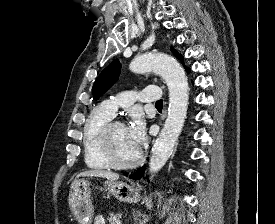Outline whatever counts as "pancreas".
Returning <instances> with one entry per match:
<instances>
[{
  "instance_id": "cf45deb5",
  "label": "pancreas",
  "mask_w": 275,
  "mask_h": 224,
  "mask_svg": "<svg viewBox=\"0 0 275 224\" xmlns=\"http://www.w3.org/2000/svg\"><path fill=\"white\" fill-rule=\"evenodd\" d=\"M122 215L120 213H110L108 217L109 224H121L120 219Z\"/></svg>"
}]
</instances>
